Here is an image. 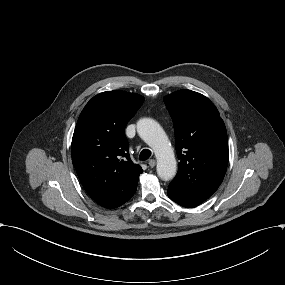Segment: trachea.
Masks as SVG:
<instances>
[{
  "instance_id": "trachea-1",
  "label": "trachea",
  "mask_w": 285,
  "mask_h": 285,
  "mask_svg": "<svg viewBox=\"0 0 285 285\" xmlns=\"http://www.w3.org/2000/svg\"><path fill=\"white\" fill-rule=\"evenodd\" d=\"M151 156V151L148 149H144L141 151L140 156H139V160H147L149 157Z\"/></svg>"
}]
</instances>
